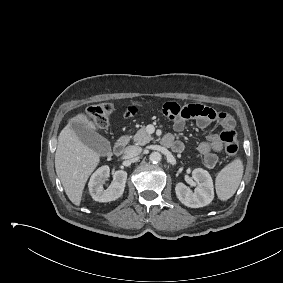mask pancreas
I'll return each instance as SVG.
<instances>
[{
	"mask_svg": "<svg viewBox=\"0 0 283 283\" xmlns=\"http://www.w3.org/2000/svg\"><path fill=\"white\" fill-rule=\"evenodd\" d=\"M131 138L137 145H145L153 139L152 136L146 132L145 126H142Z\"/></svg>",
	"mask_w": 283,
	"mask_h": 283,
	"instance_id": "obj_1",
	"label": "pancreas"
}]
</instances>
